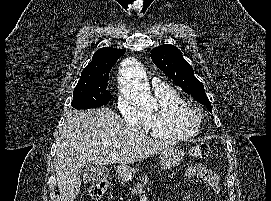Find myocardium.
<instances>
[{"instance_id":"1","label":"myocardium","mask_w":271,"mask_h":201,"mask_svg":"<svg viewBox=\"0 0 271 201\" xmlns=\"http://www.w3.org/2000/svg\"><path fill=\"white\" fill-rule=\"evenodd\" d=\"M185 116L197 123H201L203 114L200 110L190 107L185 111Z\"/></svg>"}]
</instances>
